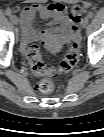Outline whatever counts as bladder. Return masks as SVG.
<instances>
[{
	"label": "bladder",
	"instance_id": "bladder-1",
	"mask_svg": "<svg viewBox=\"0 0 104 137\" xmlns=\"http://www.w3.org/2000/svg\"><path fill=\"white\" fill-rule=\"evenodd\" d=\"M44 48L51 54L60 52L64 46V42L61 38L53 36L43 42Z\"/></svg>",
	"mask_w": 104,
	"mask_h": 137
}]
</instances>
